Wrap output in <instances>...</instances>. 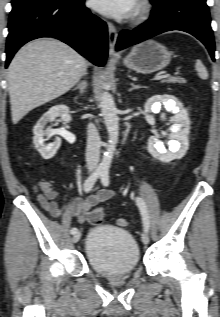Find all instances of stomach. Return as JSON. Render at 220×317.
<instances>
[{
    "label": "stomach",
    "mask_w": 220,
    "mask_h": 317,
    "mask_svg": "<svg viewBox=\"0 0 220 317\" xmlns=\"http://www.w3.org/2000/svg\"><path fill=\"white\" fill-rule=\"evenodd\" d=\"M170 60L171 52L164 45L146 40L135 45L123 63L137 73L150 74L167 67Z\"/></svg>",
    "instance_id": "0dacf381"
}]
</instances>
